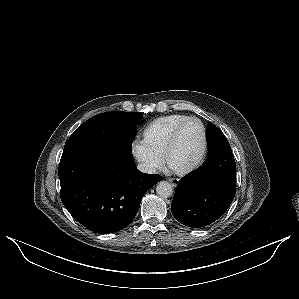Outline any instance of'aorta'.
Here are the masks:
<instances>
[{
	"label": "aorta",
	"mask_w": 299,
	"mask_h": 299,
	"mask_svg": "<svg viewBox=\"0 0 299 299\" xmlns=\"http://www.w3.org/2000/svg\"><path fill=\"white\" fill-rule=\"evenodd\" d=\"M156 192L161 198H168L173 193V187L169 182L161 181L156 186Z\"/></svg>",
	"instance_id": "obj_1"
}]
</instances>
